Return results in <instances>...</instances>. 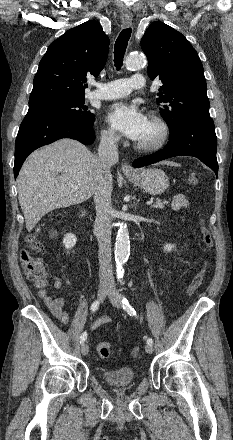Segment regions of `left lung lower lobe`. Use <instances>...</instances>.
Returning <instances> with one entry per match:
<instances>
[{
  "label": "left lung lower lobe",
  "mask_w": 233,
  "mask_h": 440,
  "mask_svg": "<svg viewBox=\"0 0 233 440\" xmlns=\"http://www.w3.org/2000/svg\"><path fill=\"white\" fill-rule=\"evenodd\" d=\"M216 151L213 120L211 117L194 116L186 119L180 129L170 135L163 150L135 160L133 166L143 167L170 157L188 155L200 159L218 175Z\"/></svg>",
  "instance_id": "left-lung-lower-lobe-1"
}]
</instances>
